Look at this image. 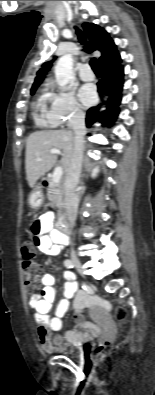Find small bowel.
<instances>
[{
    "label": "small bowel",
    "instance_id": "c3829d8e",
    "mask_svg": "<svg viewBox=\"0 0 155 395\" xmlns=\"http://www.w3.org/2000/svg\"><path fill=\"white\" fill-rule=\"evenodd\" d=\"M54 215L52 212L41 215L32 226L33 241L39 251L48 255H58L62 248L68 243V238L59 232L53 231ZM64 299L57 302L54 316L49 312L56 300L55 279L51 274H43L41 282L43 288L37 289V294L30 297L29 305L34 309V321L36 333L41 346L48 352H53L66 341L72 345H81L99 332V326L83 321L81 313L86 307H91L98 315L110 307L109 303L97 296L85 292H77V283L72 273L65 274ZM73 298V309L76 316L74 329L68 331L64 336H52V332L62 329V318L69 308V299Z\"/></svg>",
    "mask_w": 155,
    "mask_h": 395
}]
</instances>
